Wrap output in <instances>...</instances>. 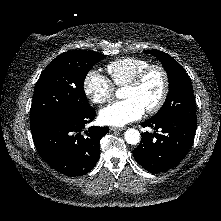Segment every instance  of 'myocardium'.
<instances>
[{
	"instance_id": "myocardium-1",
	"label": "myocardium",
	"mask_w": 221,
	"mask_h": 221,
	"mask_svg": "<svg viewBox=\"0 0 221 221\" xmlns=\"http://www.w3.org/2000/svg\"><path fill=\"white\" fill-rule=\"evenodd\" d=\"M153 71H158L161 74L162 80H163V87H162V92L157 102L153 106L145 109L147 113H155L159 111L167 99L169 88H170V81H169V76H168L166 69L160 64H150L147 67L140 70L126 84V87L137 88L138 86L142 84L144 79Z\"/></svg>"
}]
</instances>
